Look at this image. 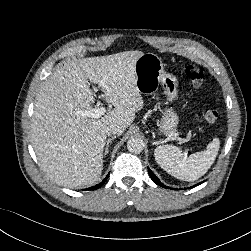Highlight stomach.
<instances>
[{
  "label": "stomach",
  "instance_id": "1",
  "mask_svg": "<svg viewBox=\"0 0 251 251\" xmlns=\"http://www.w3.org/2000/svg\"><path fill=\"white\" fill-rule=\"evenodd\" d=\"M137 89L141 94H153L161 86L167 97V104L172 103L178 94V80L175 75L164 71L162 59L154 53H146L138 58L135 64ZM178 125V116L173 108L162 112L160 130L163 133L173 132Z\"/></svg>",
  "mask_w": 251,
  "mask_h": 251
}]
</instances>
